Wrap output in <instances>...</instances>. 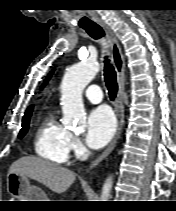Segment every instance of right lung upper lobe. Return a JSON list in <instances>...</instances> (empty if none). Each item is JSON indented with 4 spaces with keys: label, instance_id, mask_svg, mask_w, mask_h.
I'll return each instance as SVG.
<instances>
[{
    "label": "right lung upper lobe",
    "instance_id": "obj_1",
    "mask_svg": "<svg viewBox=\"0 0 176 211\" xmlns=\"http://www.w3.org/2000/svg\"><path fill=\"white\" fill-rule=\"evenodd\" d=\"M32 108H33V106H30V107L26 110L25 115L31 114ZM25 115H24V116H25Z\"/></svg>",
    "mask_w": 176,
    "mask_h": 211
}]
</instances>
